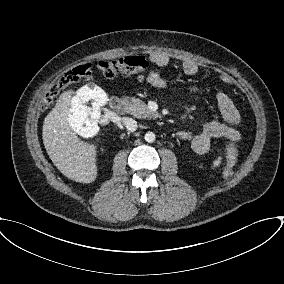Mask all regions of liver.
<instances>
[{"label": "liver", "mask_w": 284, "mask_h": 284, "mask_svg": "<svg viewBox=\"0 0 284 284\" xmlns=\"http://www.w3.org/2000/svg\"><path fill=\"white\" fill-rule=\"evenodd\" d=\"M72 91H64L44 119V147L57 169L67 178L92 183L97 177L96 146L80 140L69 124Z\"/></svg>", "instance_id": "6515ba94"}]
</instances>
